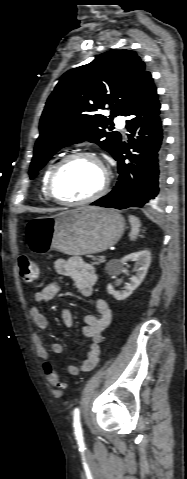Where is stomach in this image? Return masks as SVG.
Returning a JSON list of instances; mask_svg holds the SVG:
<instances>
[{
  "label": "stomach",
  "mask_w": 187,
  "mask_h": 479,
  "mask_svg": "<svg viewBox=\"0 0 187 479\" xmlns=\"http://www.w3.org/2000/svg\"><path fill=\"white\" fill-rule=\"evenodd\" d=\"M124 227V218L115 210L83 206L54 216L34 217L27 222L25 233L36 254L58 250L68 255H85L115 245Z\"/></svg>",
  "instance_id": "0dacf381"
}]
</instances>
